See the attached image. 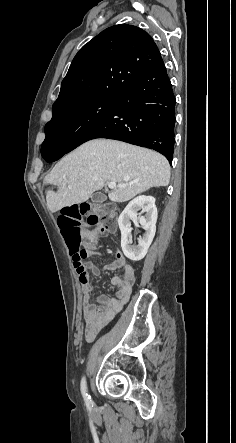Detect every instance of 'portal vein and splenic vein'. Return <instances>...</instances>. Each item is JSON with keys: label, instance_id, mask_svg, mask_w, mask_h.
<instances>
[{"label": "portal vein and splenic vein", "instance_id": "obj_1", "mask_svg": "<svg viewBox=\"0 0 236 443\" xmlns=\"http://www.w3.org/2000/svg\"><path fill=\"white\" fill-rule=\"evenodd\" d=\"M108 187H109L110 189H116V188H121V187H123V185H117L116 182H109V183H108Z\"/></svg>", "mask_w": 236, "mask_h": 443}]
</instances>
